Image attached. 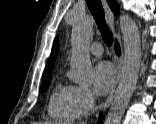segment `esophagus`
<instances>
[{
    "label": "esophagus",
    "mask_w": 156,
    "mask_h": 124,
    "mask_svg": "<svg viewBox=\"0 0 156 124\" xmlns=\"http://www.w3.org/2000/svg\"><path fill=\"white\" fill-rule=\"evenodd\" d=\"M102 4L104 7L107 24L109 25V27L112 30L117 42L119 43L120 48L122 49V43H121L120 35L115 30V27H114L113 13H112V11H111L106 0H102ZM115 66H116V70H117L116 79H115L114 85L112 87L111 93L109 94L108 98L106 99V101L104 102V104L102 106L103 111H105L111 105V103L114 99V96H115V94L118 91V88L120 86V81H121V78L123 75V70H124V60H123L122 53L115 55Z\"/></svg>",
    "instance_id": "1"
}]
</instances>
